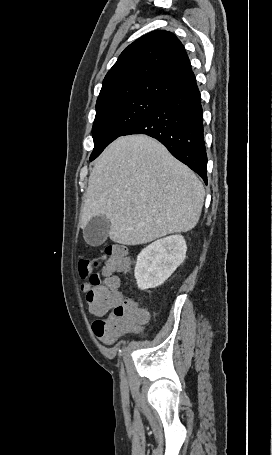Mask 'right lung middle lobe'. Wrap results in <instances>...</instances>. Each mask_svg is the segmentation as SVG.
<instances>
[{
  "label": "right lung middle lobe",
  "mask_w": 272,
  "mask_h": 455,
  "mask_svg": "<svg viewBox=\"0 0 272 455\" xmlns=\"http://www.w3.org/2000/svg\"><path fill=\"white\" fill-rule=\"evenodd\" d=\"M163 101L153 97L136 96L97 106L92 128L94 149L90 161L98 157L104 148L126 129L158 108Z\"/></svg>",
  "instance_id": "right-lung-middle-lobe-1"
}]
</instances>
